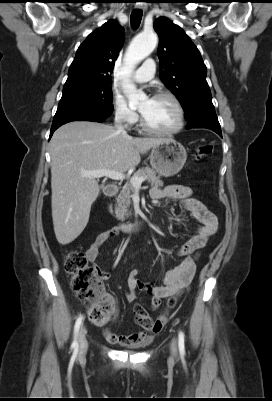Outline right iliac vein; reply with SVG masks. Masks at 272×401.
Wrapping results in <instances>:
<instances>
[{"mask_svg": "<svg viewBox=\"0 0 272 401\" xmlns=\"http://www.w3.org/2000/svg\"><path fill=\"white\" fill-rule=\"evenodd\" d=\"M78 341H79V354L83 355L87 351V347H88L85 326H82L79 330Z\"/></svg>", "mask_w": 272, "mask_h": 401, "instance_id": "63e3f726", "label": "right iliac vein"}]
</instances>
